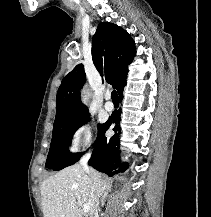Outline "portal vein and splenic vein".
<instances>
[{"mask_svg": "<svg viewBox=\"0 0 211 217\" xmlns=\"http://www.w3.org/2000/svg\"><path fill=\"white\" fill-rule=\"evenodd\" d=\"M78 205L82 207L83 212H89L90 207L87 204H82L81 202H78Z\"/></svg>", "mask_w": 211, "mask_h": 217, "instance_id": "1", "label": "portal vein and splenic vein"}]
</instances>
